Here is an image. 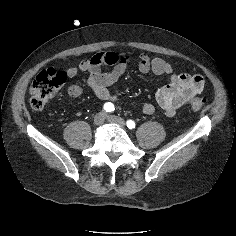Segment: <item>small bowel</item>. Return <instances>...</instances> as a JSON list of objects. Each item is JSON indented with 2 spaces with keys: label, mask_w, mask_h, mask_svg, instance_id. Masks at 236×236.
Segmentation results:
<instances>
[{
  "label": "small bowel",
  "mask_w": 236,
  "mask_h": 236,
  "mask_svg": "<svg viewBox=\"0 0 236 236\" xmlns=\"http://www.w3.org/2000/svg\"><path fill=\"white\" fill-rule=\"evenodd\" d=\"M134 58L135 55L131 52H100L82 60L78 67L68 68L65 73L69 78L76 77L79 71L87 73V85L93 93L99 99L116 102L118 96L110 91V87L124 75ZM103 65H112L113 68L109 72H102ZM138 69L145 74L152 72L156 76L169 78V82L156 93L158 106L169 117L174 116L177 109L192 97L201 94L204 88L205 80L202 75L174 73L167 61L158 57L150 58L146 53L138 55ZM83 92V88L79 85L67 88V94L71 97H79ZM141 110L146 115H153L157 109L151 103H144Z\"/></svg>",
  "instance_id": "obj_1"
}]
</instances>
